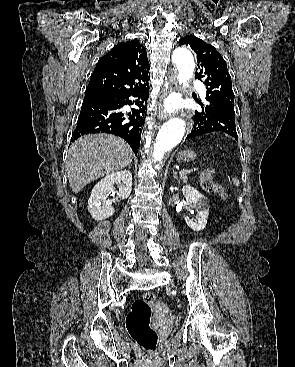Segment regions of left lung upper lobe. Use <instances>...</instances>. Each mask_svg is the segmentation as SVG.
Instances as JSON below:
<instances>
[{
  "label": "left lung upper lobe",
  "instance_id": "obj_1",
  "mask_svg": "<svg viewBox=\"0 0 295 367\" xmlns=\"http://www.w3.org/2000/svg\"><path fill=\"white\" fill-rule=\"evenodd\" d=\"M179 45L190 46L197 54L199 72L195 76L207 87L206 100L210 105H221L234 109V93L231 77L225 60L210 44L194 35H187L179 40Z\"/></svg>",
  "mask_w": 295,
  "mask_h": 367
}]
</instances>
